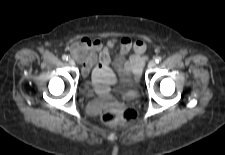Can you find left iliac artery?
I'll return each mask as SVG.
<instances>
[{
  "label": "left iliac artery",
  "instance_id": "obj_1",
  "mask_svg": "<svg viewBox=\"0 0 225 155\" xmlns=\"http://www.w3.org/2000/svg\"><path fill=\"white\" fill-rule=\"evenodd\" d=\"M161 57H157L156 59H155V61H156V63H159V62H161Z\"/></svg>",
  "mask_w": 225,
  "mask_h": 155
}]
</instances>
